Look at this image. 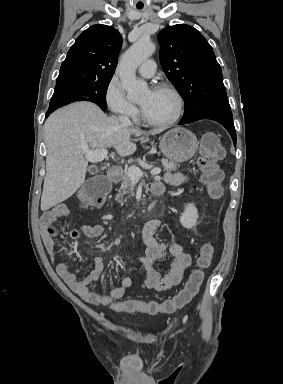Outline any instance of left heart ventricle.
I'll use <instances>...</instances> for the list:
<instances>
[{
    "instance_id": "b2bd125f",
    "label": "left heart ventricle",
    "mask_w": 283,
    "mask_h": 384,
    "mask_svg": "<svg viewBox=\"0 0 283 384\" xmlns=\"http://www.w3.org/2000/svg\"><path fill=\"white\" fill-rule=\"evenodd\" d=\"M143 115L149 120L163 122L173 117L176 104L173 97L164 90H147L138 100Z\"/></svg>"
}]
</instances>
